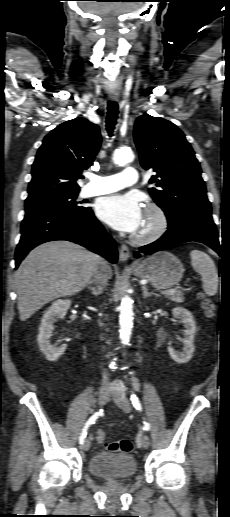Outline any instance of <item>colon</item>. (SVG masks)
Listing matches in <instances>:
<instances>
[{
  "label": "colon",
  "instance_id": "1",
  "mask_svg": "<svg viewBox=\"0 0 230 517\" xmlns=\"http://www.w3.org/2000/svg\"><path fill=\"white\" fill-rule=\"evenodd\" d=\"M201 305L208 318H213L215 316L216 309L212 300L201 295ZM97 440L109 451L129 453L132 449V443L130 440L123 439L119 441H108L106 434L103 431H98Z\"/></svg>",
  "mask_w": 230,
  "mask_h": 517
}]
</instances>
